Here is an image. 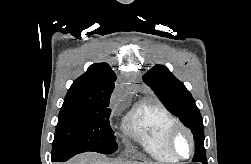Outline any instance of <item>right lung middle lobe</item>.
<instances>
[{
  "instance_id": "right-lung-middle-lobe-1",
  "label": "right lung middle lobe",
  "mask_w": 251,
  "mask_h": 164,
  "mask_svg": "<svg viewBox=\"0 0 251 164\" xmlns=\"http://www.w3.org/2000/svg\"><path fill=\"white\" fill-rule=\"evenodd\" d=\"M108 106L109 102L65 98L58 117L52 154L65 150L102 154L116 151Z\"/></svg>"
}]
</instances>
